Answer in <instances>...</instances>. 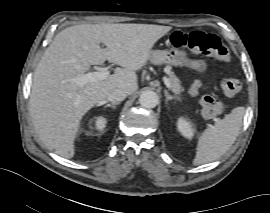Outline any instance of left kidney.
Returning a JSON list of instances; mask_svg holds the SVG:
<instances>
[{
  "label": "left kidney",
  "instance_id": "obj_1",
  "mask_svg": "<svg viewBox=\"0 0 270 213\" xmlns=\"http://www.w3.org/2000/svg\"><path fill=\"white\" fill-rule=\"evenodd\" d=\"M177 128L182 136L191 139L194 135V126L188 119L180 117L177 121Z\"/></svg>",
  "mask_w": 270,
  "mask_h": 213
}]
</instances>
